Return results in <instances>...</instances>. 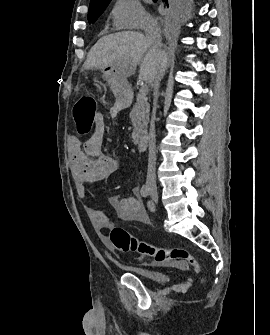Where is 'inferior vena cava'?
<instances>
[{"instance_id":"obj_1","label":"inferior vena cava","mask_w":270,"mask_h":335,"mask_svg":"<svg viewBox=\"0 0 270 335\" xmlns=\"http://www.w3.org/2000/svg\"><path fill=\"white\" fill-rule=\"evenodd\" d=\"M145 36L147 40H150L152 42L153 46H163L162 44V36H161V30L156 22V20H153V18H146L144 22V28ZM167 64H163L161 66L160 70H158L156 76H154V80H151V88H153V94H154V106L157 104L158 100V92H159V86L160 82L163 78V74L166 70ZM156 140H155V116L153 114L151 124H150V132H149V158H148V171H147V183L148 185H156Z\"/></svg>"}]
</instances>
